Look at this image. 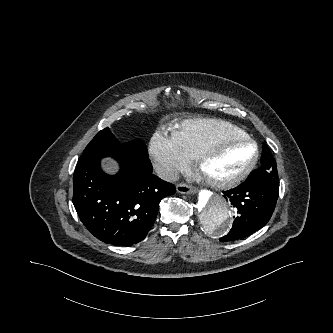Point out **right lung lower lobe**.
I'll use <instances>...</instances> for the list:
<instances>
[{"label":"right lung lower lobe","mask_w":333,"mask_h":333,"mask_svg":"<svg viewBox=\"0 0 333 333\" xmlns=\"http://www.w3.org/2000/svg\"><path fill=\"white\" fill-rule=\"evenodd\" d=\"M104 156H83L74 173L73 204L84 226L99 240L116 246L142 241L155 222L159 202L176 191L152 174L149 158L112 156L115 176L100 167Z\"/></svg>","instance_id":"98d812e1"}]
</instances>
